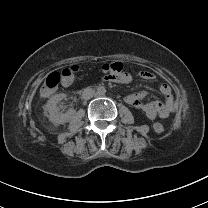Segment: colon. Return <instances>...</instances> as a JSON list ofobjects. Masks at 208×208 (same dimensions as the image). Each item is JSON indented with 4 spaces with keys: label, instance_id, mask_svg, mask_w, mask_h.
<instances>
[{
    "label": "colon",
    "instance_id": "colon-1",
    "mask_svg": "<svg viewBox=\"0 0 208 208\" xmlns=\"http://www.w3.org/2000/svg\"><path fill=\"white\" fill-rule=\"evenodd\" d=\"M83 71L81 65L76 64L73 67H66L59 72L51 73L45 80L42 90L45 92L55 91L60 84H66L73 80L74 74L79 75ZM98 71L105 78H122L124 74V64L121 61H112L102 64ZM154 131L157 134L166 132V125L163 122L157 121L154 123Z\"/></svg>",
    "mask_w": 208,
    "mask_h": 208
}]
</instances>
